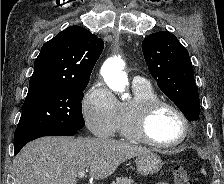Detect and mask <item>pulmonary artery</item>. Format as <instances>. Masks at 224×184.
<instances>
[{"mask_svg":"<svg viewBox=\"0 0 224 184\" xmlns=\"http://www.w3.org/2000/svg\"><path fill=\"white\" fill-rule=\"evenodd\" d=\"M132 81H133V85L135 86H140V87L149 86L148 81L142 76H134Z\"/></svg>","mask_w":224,"mask_h":184,"instance_id":"e3ab8cb5","label":"pulmonary artery"}]
</instances>
